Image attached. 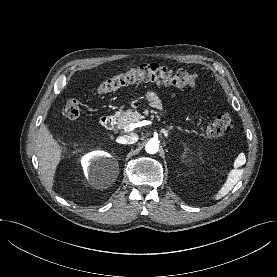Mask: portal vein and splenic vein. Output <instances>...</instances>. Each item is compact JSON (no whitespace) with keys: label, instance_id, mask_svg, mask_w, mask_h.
Here are the masks:
<instances>
[{"label":"portal vein and splenic vein","instance_id":"1","mask_svg":"<svg viewBox=\"0 0 277 277\" xmlns=\"http://www.w3.org/2000/svg\"><path fill=\"white\" fill-rule=\"evenodd\" d=\"M150 123H151L150 121H141V122H138V123H132V124L128 125V130L131 131L136 127L144 126V125H147V124H150Z\"/></svg>","mask_w":277,"mask_h":277}]
</instances>
